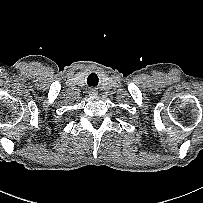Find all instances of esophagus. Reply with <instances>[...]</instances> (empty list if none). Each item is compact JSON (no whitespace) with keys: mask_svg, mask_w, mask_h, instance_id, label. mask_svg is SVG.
I'll list each match as a JSON object with an SVG mask.
<instances>
[{"mask_svg":"<svg viewBox=\"0 0 203 203\" xmlns=\"http://www.w3.org/2000/svg\"><path fill=\"white\" fill-rule=\"evenodd\" d=\"M88 93L90 96H95L97 95V90L94 88H90Z\"/></svg>","mask_w":203,"mask_h":203,"instance_id":"esophagus-1","label":"esophagus"}]
</instances>
